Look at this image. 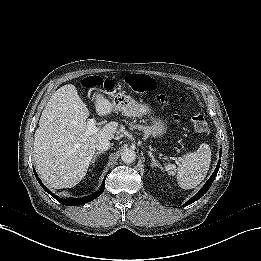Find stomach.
I'll list each match as a JSON object with an SVG mask.
<instances>
[{"instance_id": "stomach-1", "label": "stomach", "mask_w": 261, "mask_h": 261, "mask_svg": "<svg viewBox=\"0 0 261 261\" xmlns=\"http://www.w3.org/2000/svg\"><path fill=\"white\" fill-rule=\"evenodd\" d=\"M115 110L129 117H143L151 114V108L146 103H139L125 93H119L113 100ZM149 134L160 137L166 132V124L162 119L152 118L151 126L148 127Z\"/></svg>"}]
</instances>
